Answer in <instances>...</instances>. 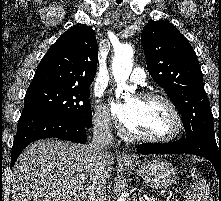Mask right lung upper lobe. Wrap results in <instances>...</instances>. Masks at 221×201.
Wrapping results in <instances>:
<instances>
[{"label": "right lung upper lobe", "mask_w": 221, "mask_h": 201, "mask_svg": "<svg viewBox=\"0 0 221 201\" xmlns=\"http://www.w3.org/2000/svg\"><path fill=\"white\" fill-rule=\"evenodd\" d=\"M98 44L90 27L67 30L40 61L33 87L88 89L96 74Z\"/></svg>", "instance_id": "obj_1"}]
</instances>
